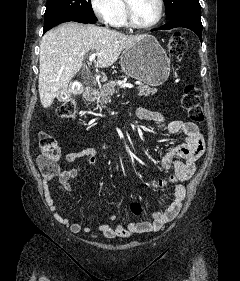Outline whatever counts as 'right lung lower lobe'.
Instances as JSON below:
<instances>
[{
	"instance_id": "right-lung-lower-lobe-1",
	"label": "right lung lower lobe",
	"mask_w": 240,
	"mask_h": 281,
	"mask_svg": "<svg viewBox=\"0 0 240 281\" xmlns=\"http://www.w3.org/2000/svg\"><path fill=\"white\" fill-rule=\"evenodd\" d=\"M96 21H92V22H82V23H95ZM45 32V31H44Z\"/></svg>"
}]
</instances>
